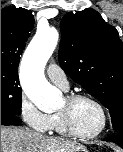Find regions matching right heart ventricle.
<instances>
[{
	"label": "right heart ventricle",
	"mask_w": 123,
	"mask_h": 152,
	"mask_svg": "<svg viewBox=\"0 0 123 152\" xmlns=\"http://www.w3.org/2000/svg\"><path fill=\"white\" fill-rule=\"evenodd\" d=\"M51 119H52V122H51L50 130H53L60 135H64V136L69 135L62 124L59 113L52 114Z\"/></svg>",
	"instance_id": "e07e8e85"
}]
</instances>
